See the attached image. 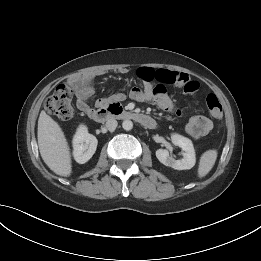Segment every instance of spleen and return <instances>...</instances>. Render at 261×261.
<instances>
[{
	"instance_id": "1",
	"label": "spleen",
	"mask_w": 261,
	"mask_h": 261,
	"mask_svg": "<svg viewBox=\"0 0 261 261\" xmlns=\"http://www.w3.org/2000/svg\"><path fill=\"white\" fill-rule=\"evenodd\" d=\"M217 154L216 150H207L202 154L198 166L199 178L205 177L211 171L216 162Z\"/></svg>"
}]
</instances>
